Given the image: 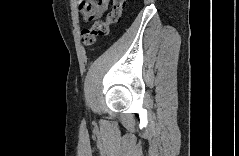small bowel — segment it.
<instances>
[{"label":"small bowel","mask_w":239,"mask_h":156,"mask_svg":"<svg viewBox=\"0 0 239 156\" xmlns=\"http://www.w3.org/2000/svg\"><path fill=\"white\" fill-rule=\"evenodd\" d=\"M79 12L85 22L96 21L103 17L108 9V0H78Z\"/></svg>","instance_id":"1"}]
</instances>
